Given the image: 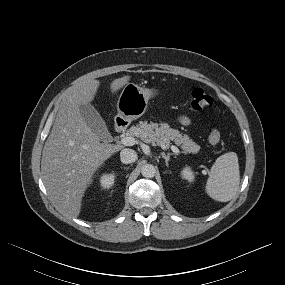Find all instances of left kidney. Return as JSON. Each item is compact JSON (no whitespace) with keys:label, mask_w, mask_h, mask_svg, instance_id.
Returning a JSON list of instances; mask_svg holds the SVG:
<instances>
[{"label":"left kidney","mask_w":285,"mask_h":285,"mask_svg":"<svg viewBox=\"0 0 285 285\" xmlns=\"http://www.w3.org/2000/svg\"><path fill=\"white\" fill-rule=\"evenodd\" d=\"M181 177L190 183L193 182L195 179L194 173L189 167H186L181 171Z\"/></svg>","instance_id":"5707ae66"}]
</instances>
